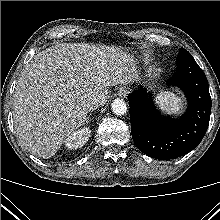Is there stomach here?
<instances>
[{
	"label": "stomach",
	"mask_w": 220,
	"mask_h": 220,
	"mask_svg": "<svg viewBox=\"0 0 220 220\" xmlns=\"http://www.w3.org/2000/svg\"><path fill=\"white\" fill-rule=\"evenodd\" d=\"M157 76V74L155 73V71H149V73H148V77L149 78H154V77H156Z\"/></svg>",
	"instance_id": "obj_1"
}]
</instances>
